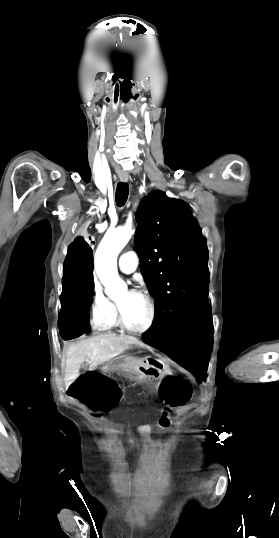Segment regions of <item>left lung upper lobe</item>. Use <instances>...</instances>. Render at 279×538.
Returning <instances> with one entry per match:
<instances>
[{
    "label": "left lung upper lobe",
    "mask_w": 279,
    "mask_h": 538,
    "mask_svg": "<svg viewBox=\"0 0 279 538\" xmlns=\"http://www.w3.org/2000/svg\"><path fill=\"white\" fill-rule=\"evenodd\" d=\"M136 221L135 250L155 299V318L145 333L163 335L208 300L206 240L184 202L161 191L142 199Z\"/></svg>",
    "instance_id": "1"
}]
</instances>
